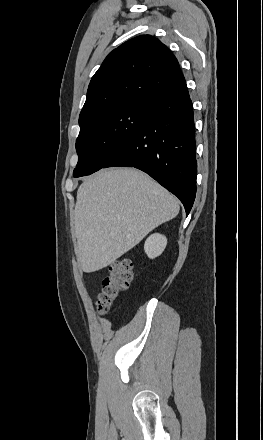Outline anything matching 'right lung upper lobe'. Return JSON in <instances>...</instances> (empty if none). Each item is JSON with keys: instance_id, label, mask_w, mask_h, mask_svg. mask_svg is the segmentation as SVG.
Instances as JSON below:
<instances>
[{"instance_id": "right-lung-upper-lobe-1", "label": "right lung upper lobe", "mask_w": 263, "mask_h": 440, "mask_svg": "<svg viewBox=\"0 0 263 440\" xmlns=\"http://www.w3.org/2000/svg\"><path fill=\"white\" fill-rule=\"evenodd\" d=\"M184 83L167 46L150 35L135 37L114 49L92 77L79 123L123 104H151Z\"/></svg>"}]
</instances>
